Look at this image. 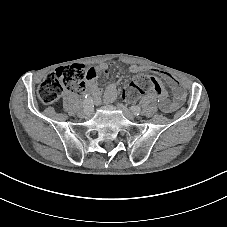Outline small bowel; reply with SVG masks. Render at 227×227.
<instances>
[{
	"instance_id": "small-bowel-1",
	"label": "small bowel",
	"mask_w": 227,
	"mask_h": 227,
	"mask_svg": "<svg viewBox=\"0 0 227 227\" xmlns=\"http://www.w3.org/2000/svg\"><path fill=\"white\" fill-rule=\"evenodd\" d=\"M108 67L109 63H103L89 68L86 72V86L84 90H88L89 97H91L92 101L96 104L111 103L116 99L117 96V83L106 84L104 91L98 87L100 82L102 83L105 81L108 74ZM143 70V67L131 65L127 71L131 74H135ZM153 72L166 81L174 96L172 101L169 99L166 101L159 100V106L163 112H173L179 108L184 101L186 96L185 90L172 74L157 69H154ZM150 97H152V95Z\"/></svg>"
}]
</instances>
